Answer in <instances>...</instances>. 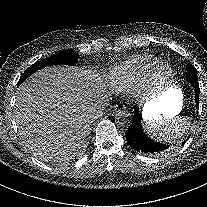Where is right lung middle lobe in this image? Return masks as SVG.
<instances>
[{
    "label": "right lung middle lobe",
    "instance_id": "obj_1",
    "mask_svg": "<svg viewBox=\"0 0 207 207\" xmlns=\"http://www.w3.org/2000/svg\"><path fill=\"white\" fill-rule=\"evenodd\" d=\"M79 55L76 52L65 50L56 53L48 58L42 59L31 65L20 77L17 86L19 87L34 72L51 65H74L77 63Z\"/></svg>",
    "mask_w": 207,
    "mask_h": 207
}]
</instances>
